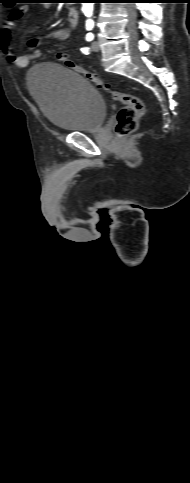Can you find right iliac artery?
Segmentation results:
<instances>
[{
    "mask_svg": "<svg viewBox=\"0 0 190 483\" xmlns=\"http://www.w3.org/2000/svg\"><path fill=\"white\" fill-rule=\"evenodd\" d=\"M94 24L93 23H87L86 24V29L91 30L93 28Z\"/></svg>",
    "mask_w": 190,
    "mask_h": 483,
    "instance_id": "obj_1",
    "label": "right iliac artery"
}]
</instances>
